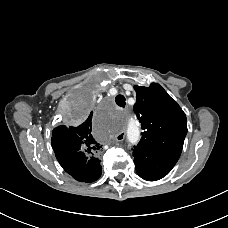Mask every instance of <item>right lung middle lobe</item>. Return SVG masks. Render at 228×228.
<instances>
[{"label": "right lung middle lobe", "mask_w": 228, "mask_h": 228, "mask_svg": "<svg viewBox=\"0 0 228 228\" xmlns=\"http://www.w3.org/2000/svg\"><path fill=\"white\" fill-rule=\"evenodd\" d=\"M93 106V98L89 92H83L78 95L73 116L76 119H82L90 111Z\"/></svg>", "instance_id": "obj_1"}]
</instances>
